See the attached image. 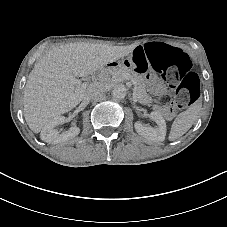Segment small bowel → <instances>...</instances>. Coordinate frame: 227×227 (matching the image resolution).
Wrapping results in <instances>:
<instances>
[{"label": "small bowel", "instance_id": "small-bowel-1", "mask_svg": "<svg viewBox=\"0 0 227 227\" xmlns=\"http://www.w3.org/2000/svg\"><path fill=\"white\" fill-rule=\"evenodd\" d=\"M145 47H146L145 45L137 47V48L134 50L133 54H134V53L140 54L142 57L145 58V61H146L147 64H148V60H147V56H146V55H147V54H146V48H145ZM148 65H149V64H148Z\"/></svg>", "mask_w": 227, "mask_h": 227}]
</instances>
